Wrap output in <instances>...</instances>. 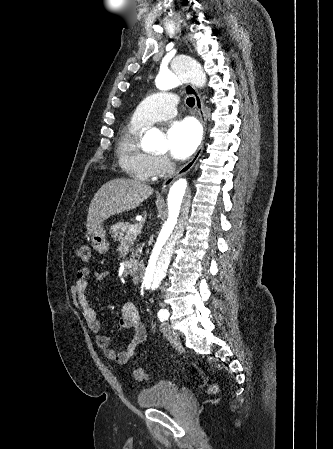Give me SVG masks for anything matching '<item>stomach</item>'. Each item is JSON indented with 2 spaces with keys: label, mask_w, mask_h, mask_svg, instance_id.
Segmentation results:
<instances>
[{
  "label": "stomach",
  "mask_w": 333,
  "mask_h": 449,
  "mask_svg": "<svg viewBox=\"0 0 333 449\" xmlns=\"http://www.w3.org/2000/svg\"><path fill=\"white\" fill-rule=\"evenodd\" d=\"M105 236L106 231L101 225L91 233L93 248L100 254L106 253L109 248V243L107 242Z\"/></svg>",
  "instance_id": "obj_1"
}]
</instances>
